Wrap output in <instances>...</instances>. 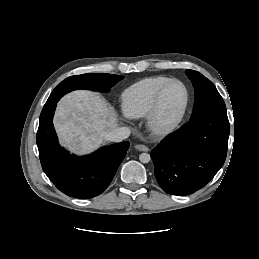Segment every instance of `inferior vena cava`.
I'll return each mask as SVG.
<instances>
[{"label":"inferior vena cava","mask_w":259,"mask_h":259,"mask_svg":"<svg viewBox=\"0 0 259 259\" xmlns=\"http://www.w3.org/2000/svg\"><path fill=\"white\" fill-rule=\"evenodd\" d=\"M130 135V129L127 127H119L115 128L114 130L108 132L105 135L106 141L111 142H121L124 139H127Z\"/></svg>","instance_id":"1"}]
</instances>
